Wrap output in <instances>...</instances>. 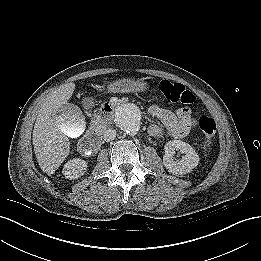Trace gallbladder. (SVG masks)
Instances as JSON below:
<instances>
[{
	"instance_id": "obj_1",
	"label": "gallbladder",
	"mask_w": 261,
	"mask_h": 261,
	"mask_svg": "<svg viewBox=\"0 0 261 261\" xmlns=\"http://www.w3.org/2000/svg\"><path fill=\"white\" fill-rule=\"evenodd\" d=\"M55 124L68 138L76 139L84 131L86 122L81 109L72 103H63L55 114Z\"/></svg>"
}]
</instances>
